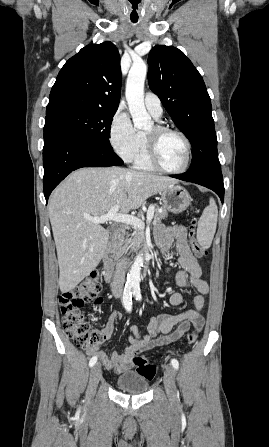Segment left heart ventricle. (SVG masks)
I'll use <instances>...</instances> for the list:
<instances>
[{"label":"left heart ventricle","mask_w":269,"mask_h":447,"mask_svg":"<svg viewBox=\"0 0 269 447\" xmlns=\"http://www.w3.org/2000/svg\"><path fill=\"white\" fill-rule=\"evenodd\" d=\"M147 135L155 139L161 162L170 169L183 166L186 158V144L177 134H159L153 127Z\"/></svg>","instance_id":"1"}]
</instances>
